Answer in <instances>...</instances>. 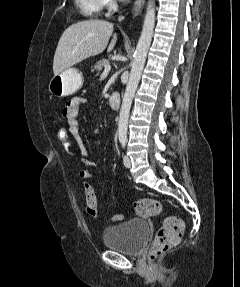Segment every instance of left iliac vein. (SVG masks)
I'll list each match as a JSON object with an SVG mask.
<instances>
[{"instance_id": "left-iliac-vein-1", "label": "left iliac vein", "mask_w": 240, "mask_h": 287, "mask_svg": "<svg viewBox=\"0 0 240 287\" xmlns=\"http://www.w3.org/2000/svg\"><path fill=\"white\" fill-rule=\"evenodd\" d=\"M123 162H124V165L127 168L131 167V160H130L129 156L125 155L124 158H123Z\"/></svg>"}]
</instances>
